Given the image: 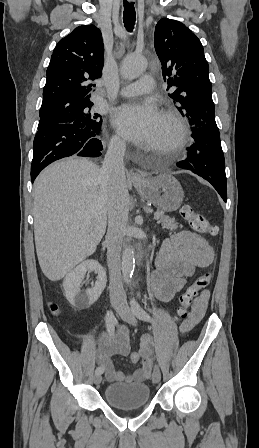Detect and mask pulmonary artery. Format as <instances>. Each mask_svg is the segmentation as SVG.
Returning a JSON list of instances; mask_svg holds the SVG:
<instances>
[{
  "instance_id": "obj_1",
  "label": "pulmonary artery",
  "mask_w": 259,
  "mask_h": 448,
  "mask_svg": "<svg viewBox=\"0 0 259 448\" xmlns=\"http://www.w3.org/2000/svg\"><path fill=\"white\" fill-rule=\"evenodd\" d=\"M135 54H127L121 61V72L129 78H136L142 75L145 67L136 61ZM143 79L153 80L149 75L142 76ZM148 89H138L134 88L133 85L127 84L120 88V95L122 96H133L146 92Z\"/></svg>"
}]
</instances>
